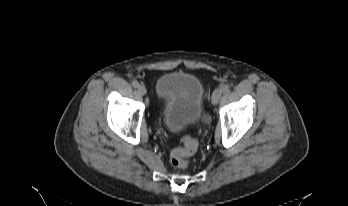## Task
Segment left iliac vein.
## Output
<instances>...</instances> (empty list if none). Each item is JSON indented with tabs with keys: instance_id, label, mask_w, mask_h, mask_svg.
I'll return each instance as SVG.
<instances>
[{
	"instance_id": "4c4485c4",
	"label": "left iliac vein",
	"mask_w": 348,
	"mask_h": 206,
	"mask_svg": "<svg viewBox=\"0 0 348 206\" xmlns=\"http://www.w3.org/2000/svg\"><path fill=\"white\" fill-rule=\"evenodd\" d=\"M223 94L222 88L218 87L217 89L214 90L213 94H212V104L213 105H217L221 96Z\"/></svg>"
}]
</instances>
